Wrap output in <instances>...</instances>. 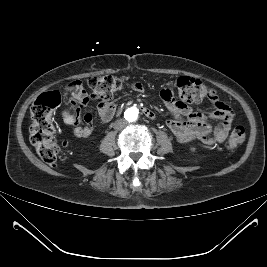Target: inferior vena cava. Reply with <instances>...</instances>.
<instances>
[{
	"mask_svg": "<svg viewBox=\"0 0 267 267\" xmlns=\"http://www.w3.org/2000/svg\"><path fill=\"white\" fill-rule=\"evenodd\" d=\"M127 126V121L125 119H119L114 122V129L121 130Z\"/></svg>",
	"mask_w": 267,
	"mask_h": 267,
	"instance_id": "inferior-vena-cava-1",
	"label": "inferior vena cava"
}]
</instances>
